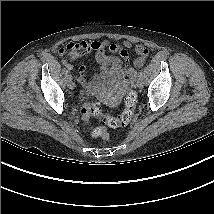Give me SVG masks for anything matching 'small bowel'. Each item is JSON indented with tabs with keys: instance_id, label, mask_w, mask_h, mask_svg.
<instances>
[{
	"instance_id": "1",
	"label": "small bowel",
	"mask_w": 214,
	"mask_h": 214,
	"mask_svg": "<svg viewBox=\"0 0 214 214\" xmlns=\"http://www.w3.org/2000/svg\"><path fill=\"white\" fill-rule=\"evenodd\" d=\"M109 46V43L107 41H80L78 43H75L74 45H71L70 54L73 52H76L77 55H80L79 50H85V51H94L97 56V60L99 64L102 66L103 71H108L109 68L115 69V70H121V66L117 59L110 58L104 54V48ZM127 47H132L131 42H126ZM111 48V46H110ZM127 89V86H125L124 91ZM112 101H115L114 97L112 98ZM111 102V100H109Z\"/></svg>"
}]
</instances>
